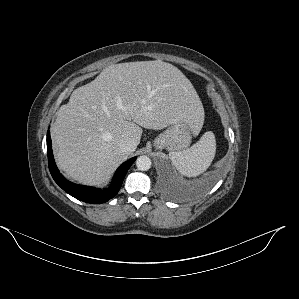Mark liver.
I'll list each match as a JSON object with an SVG mask.
<instances>
[{
  "mask_svg": "<svg viewBox=\"0 0 299 299\" xmlns=\"http://www.w3.org/2000/svg\"><path fill=\"white\" fill-rule=\"evenodd\" d=\"M180 119L197 135L204 109L177 67L161 60L110 65L59 108L51 127L57 166L81 184H102L129 155L122 139L138 145L142 127L159 130Z\"/></svg>",
  "mask_w": 299,
  "mask_h": 299,
  "instance_id": "1",
  "label": "liver"
}]
</instances>
